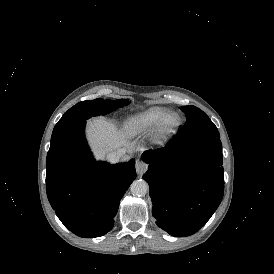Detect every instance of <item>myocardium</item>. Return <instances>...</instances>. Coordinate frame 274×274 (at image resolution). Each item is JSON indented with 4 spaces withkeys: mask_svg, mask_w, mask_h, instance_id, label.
<instances>
[{
    "mask_svg": "<svg viewBox=\"0 0 274 274\" xmlns=\"http://www.w3.org/2000/svg\"><path fill=\"white\" fill-rule=\"evenodd\" d=\"M179 115L180 121L172 129L167 128V123L173 115ZM184 125V116L179 111H168L160 121V123L152 130L150 136V143L153 147H164L168 141L176 135Z\"/></svg>",
    "mask_w": 274,
    "mask_h": 274,
    "instance_id": "obj_1",
    "label": "myocardium"
}]
</instances>
